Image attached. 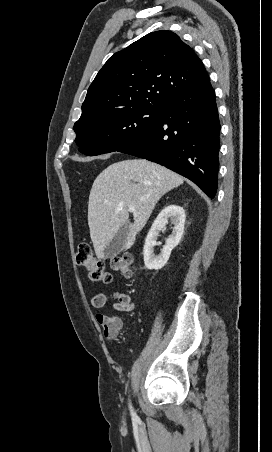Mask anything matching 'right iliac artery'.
Listing matches in <instances>:
<instances>
[{
    "mask_svg": "<svg viewBox=\"0 0 272 452\" xmlns=\"http://www.w3.org/2000/svg\"><path fill=\"white\" fill-rule=\"evenodd\" d=\"M130 411H131V415H132V417L134 418V419H136L137 418V415H136V413L133 411V409H132V406L130 405Z\"/></svg>",
    "mask_w": 272,
    "mask_h": 452,
    "instance_id": "obj_1",
    "label": "right iliac artery"
}]
</instances>
